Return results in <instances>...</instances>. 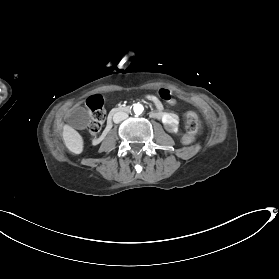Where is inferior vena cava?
I'll return each instance as SVG.
<instances>
[{
    "instance_id": "1",
    "label": "inferior vena cava",
    "mask_w": 279,
    "mask_h": 279,
    "mask_svg": "<svg viewBox=\"0 0 279 279\" xmlns=\"http://www.w3.org/2000/svg\"><path fill=\"white\" fill-rule=\"evenodd\" d=\"M127 118H128V114L125 113V112H121V111L116 112V113L113 115V121H114L115 123H119L120 121H122V120H124V119L129 120V119H127Z\"/></svg>"
}]
</instances>
